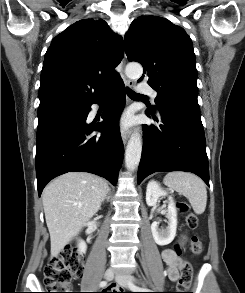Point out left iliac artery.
Masks as SVG:
<instances>
[{
  "mask_svg": "<svg viewBox=\"0 0 245 293\" xmlns=\"http://www.w3.org/2000/svg\"><path fill=\"white\" fill-rule=\"evenodd\" d=\"M129 288L133 291H139V290H142V288L140 287H137L136 285L132 284V283H129Z\"/></svg>",
  "mask_w": 245,
  "mask_h": 293,
  "instance_id": "left-iliac-artery-1",
  "label": "left iliac artery"
}]
</instances>
